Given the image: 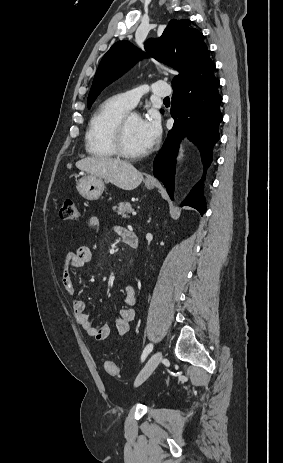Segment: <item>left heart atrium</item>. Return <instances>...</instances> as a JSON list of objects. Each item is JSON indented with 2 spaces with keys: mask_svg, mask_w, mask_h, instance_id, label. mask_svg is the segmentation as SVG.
Masks as SVG:
<instances>
[{
  "mask_svg": "<svg viewBox=\"0 0 283 463\" xmlns=\"http://www.w3.org/2000/svg\"><path fill=\"white\" fill-rule=\"evenodd\" d=\"M140 129L145 147L151 149L159 141L161 136V127L158 119L150 115L140 120Z\"/></svg>",
  "mask_w": 283,
  "mask_h": 463,
  "instance_id": "39dd6f15",
  "label": "left heart atrium"
}]
</instances>
